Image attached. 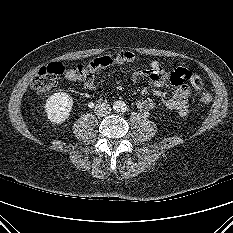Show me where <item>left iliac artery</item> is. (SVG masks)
<instances>
[{"label":"left iliac artery","mask_w":233,"mask_h":233,"mask_svg":"<svg viewBox=\"0 0 233 233\" xmlns=\"http://www.w3.org/2000/svg\"><path fill=\"white\" fill-rule=\"evenodd\" d=\"M122 111H123V112H126V111H128V108H127V107H123V108H122Z\"/></svg>","instance_id":"left-iliac-artery-1"}]
</instances>
